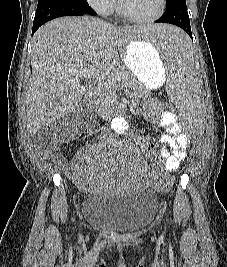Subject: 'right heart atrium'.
Instances as JSON below:
<instances>
[{
	"instance_id": "1",
	"label": "right heart atrium",
	"mask_w": 227,
	"mask_h": 267,
	"mask_svg": "<svg viewBox=\"0 0 227 267\" xmlns=\"http://www.w3.org/2000/svg\"><path fill=\"white\" fill-rule=\"evenodd\" d=\"M98 13L104 16L110 15L116 6L115 0H86Z\"/></svg>"
}]
</instances>
